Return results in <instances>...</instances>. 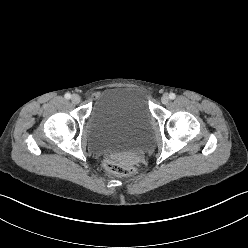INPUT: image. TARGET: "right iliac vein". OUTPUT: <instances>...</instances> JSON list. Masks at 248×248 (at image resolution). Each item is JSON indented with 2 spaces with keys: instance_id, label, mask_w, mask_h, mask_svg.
I'll use <instances>...</instances> for the list:
<instances>
[{
  "instance_id": "63e3f726",
  "label": "right iliac vein",
  "mask_w": 248,
  "mask_h": 248,
  "mask_svg": "<svg viewBox=\"0 0 248 248\" xmlns=\"http://www.w3.org/2000/svg\"><path fill=\"white\" fill-rule=\"evenodd\" d=\"M71 100L73 103L78 104L80 102L81 98L78 94H74V95H72Z\"/></svg>"
}]
</instances>
